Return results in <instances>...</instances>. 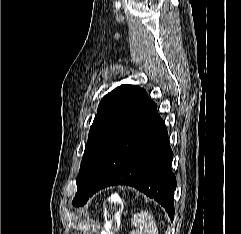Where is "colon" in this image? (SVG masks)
<instances>
[{
	"instance_id": "1",
	"label": "colon",
	"mask_w": 241,
	"mask_h": 234,
	"mask_svg": "<svg viewBox=\"0 0 241 234\" xmlns=\"http://www.w3.org/2000/svg\"><path fill=\"white\" fill-rule=\"evenodd\" d=\"M120 209H121V204H120V201L118 200H110L106 204V211L111 216H114L115 214H117L120 211Z\"/></svg>"
}]
</instances>
